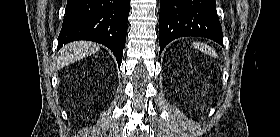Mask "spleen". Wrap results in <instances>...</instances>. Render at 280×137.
<instances>
[{
  "instance_id": "obj_1",
  "label": "spleen",
  "mask_w": 280,
  "mask_h": 137,
  "mask_svg": "<svg viewBox=\"0 0 280 137\" xmlns=\"http://www.w3.org/2000/svg\"><path fill=\"white\" fill-rule=\"evenodd\" d=\"M193 45L194 47L198 48L200 51L210 56L217 57L216 52L209 45L200 42H194Z\"/></svg>"
}]
</instances>
